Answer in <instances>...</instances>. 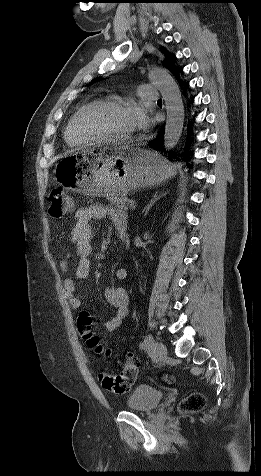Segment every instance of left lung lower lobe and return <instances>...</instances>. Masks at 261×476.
<instances>
[{
    "label": "left lung lower lobe",
    "instance_id": "obj_1",
    "mask_svg": "<svg viewBox=\"0 0 261 476\" xmlns=\"http://www.w3.org/2000/svg\"><path fill=\"white\" fill-rule=\"evenodd\" d=\"M183 84H185V82H183ZM192 100H193V98H192ZM190 129H191V125L189 124L188 125V137H187V141H186V150H185V154L183 155V158H182V160L186 161V162L190 160V158L187 156L188 146H189V143H190V138H189ZM163 143H164V131H162L153 141H150L149 146L151 148H153L154 150H156V151H165ZM166 153H168L169 156L175 155V153L172 152V151H169V152L166 151Z\"/></svg>",
    "mask_w": 261,
    "mask_h": 476
}]
</instances>
